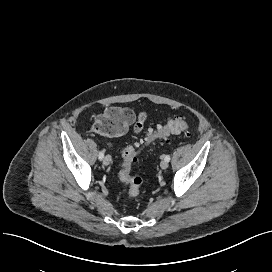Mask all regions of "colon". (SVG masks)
<instances>
[{
	"instance_id": "colon-1",
	"label": "colon",
	"mask_w": 272,
	"mask_h": 272,
	"mask_svg": "<svg viewBox=\"0 0 272 272\" xmlns=\"http://www.w3.org/2000/svg\"><path fill=\"white\" fill-rule=\"evenodd\" d=\"M131 115L126 109L111 107L97 116L93 123V130L103 136H119L125 133L130 125ZM143 122L139 121L134 126V132L140 133ZM190 125L183 116H175L166 124L159 125L147 132L146 137L138 142L125 146L121 151L122 164L119 178L128 186L127 194L122 198L128 201L136 198L143 183L140 176L132 175V165L137 160L138 154L156 140L167 139L170 135L178 133L188 134Z\"/></svg>"
}]
</instances>
